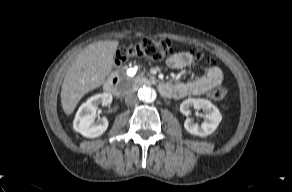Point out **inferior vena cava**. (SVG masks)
Returning a JSON list of instances; mask_svg holds the SVG:
<instances>
[{
    "label": "inferior vena cava",
    "instance_id": "obj_1",
    "mask_svg": "<svg viewBox=\"0 0 292 192\" xmlns=\"http://www.w3.org/2000/svg\"><path fill=\"white\" fill-rule=\"evenodd\" d=\"M138 102V97L134 93H128L125 96V103L129 106H132Z\"/></svg>",
    "mask_w": 292,
    "mask_h": 192
}]
</instances>
